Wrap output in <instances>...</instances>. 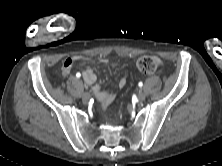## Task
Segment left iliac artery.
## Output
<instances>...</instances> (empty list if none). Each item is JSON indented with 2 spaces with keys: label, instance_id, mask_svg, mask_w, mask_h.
<instances>
[{
  "label": "left iliac artery",
  "instance_id": "1",
  "mask_svg": "<svg viewBox=\"0 0 222 166\" xmlns=\"http://www.w3.org/2000/svg\"><path fill=\"white\" fill-rule=\"evenodd\" d=\"M138 85H139V87H142V86H143V83H142V82H139Z\"/></svg>",
  "mask_w": 222,
  "mask_h": 166
}]
</instances>
